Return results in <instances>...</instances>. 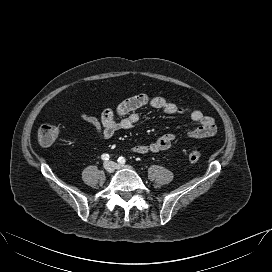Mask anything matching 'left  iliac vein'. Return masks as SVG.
<instances>
[{
    "label": "left iliac vein",
    "mask_w": 272,
    "mask_h": 272,
    "mask_svg": "<svg viewBox=\"0 0 272 272\" xmlns=\"http://www.w3.org/2000/svg\"><path fill=\"white\" fill-rule=\"evenodd\" d=\"M109 163L112 164L114 169H130V170L133 169L131 166H128V165H120V164H117L115 162H109Z\"/></svg>",
    "instance_id": "1"
}]
</instances>
